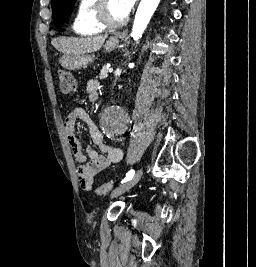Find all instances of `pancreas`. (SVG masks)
<instances>
[{"label": "pancreas", "mask_w": 256, "mask_h": 267, "mask_svg": "<svg viewBox=\"0 0 256 267\" xmlns=\"http://www.w3.org/2000/svg\"><path fill=\"white\" fill-rule=\"evenodd\" d=\"M108 70H109V68H106V66H103L102 70H100L99 78H107Z\"/></svg>", "instance_id": "cf45deb5"}]
</instances>
